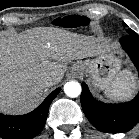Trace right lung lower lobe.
Wrapping results in <instances>:
<instances>
[{
	"mask_svg": "<svg viewBox=\"0 0 139 139\" xmlns=\"http://www.w3.org/2000/svg\"><path fill=\"white\" fill-rule=\"evenodd\" d=\"M59 91L60 88L53 91L39 107L28 114L9 116L0 113V137L2 139H31L37 136L44 127L49 106Z\"/></svg>",
	"mask_w": 139,
	"mask_h": 139,
	"instance_id": "right-lung-lower-lobe-1",
	"label": "right lung lower lobe"
}]
</instances>
